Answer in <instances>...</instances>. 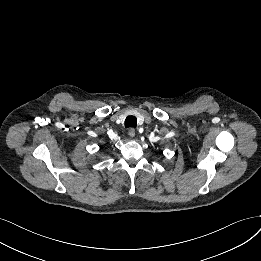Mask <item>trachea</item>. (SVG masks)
I'll use <instances>...</instances> for the list:
<instances>
[{
  "label": "trachea",
  "mask_w": 261,
  "mask_h": 261,
  "mask_svg": "<svg viewBox=\"0 0 261 261\" xmlns=\"http://www.w3.org/2000/svg\"><path fill=\"white\" fill-rule=\"evenodd\" d=\"M137 126V118L135 116H128L125 119V127L129 128V127H136Z\"/></svg>",
  "instance_id": "obj_1"
}]
</instances>
